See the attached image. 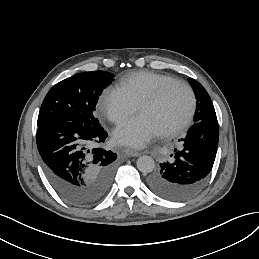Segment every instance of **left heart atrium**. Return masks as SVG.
I'll list each match as a JSON object with an SVG mask.
<instances>
[{"instance_id":"1","label":"left heart atrium","mask_w":259,"mask_h":259,"mask_svg":"<svg viewBox=\"0 0 259 259\" xmlns=\"http://www.w3.org/2000/svg\"><path fill=\"white\" fill-rule=\"evenodd\" d=\"M160 134L146 118L137 116L120 123L115 128L113 137L116 143L141 148Z\"/></svg>"}]
</instances>
